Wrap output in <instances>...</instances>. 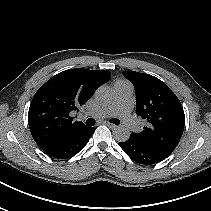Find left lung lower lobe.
Here are the masks:
<instances>
[{
  "instance_id": "obj_1",
  "label": "left lung lower lobe",
  "mask_w": 211,
  "mask_h": 211,
  "mask_svg": "<svg viewBox=\"0 0 211 211\" xmlns=\"http://www.w3.org/2000/svg\"><path fill=\"white\" fill-rule=\"evenodd\" d=\"M119 146L132 160L139 164L151 165L166 158L151 148L144 146L132 135L127 141L120 142Z\"/></svg>"
}]
</instances>
